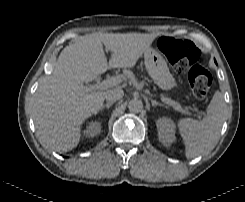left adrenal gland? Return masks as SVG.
Returning <instances> with one entry per match:
<instances>
[{"mask_svg":"<svg viewBox=\"0 0 245 202\" xmlns=\"http://www.w3.org/2000/svg\"><path fill=\"white\" fill-rule=\"evenodd\" d=\"M152 106H164V104L157 102L156 100L151 99ZM166 107V106H164Z\"/></svg>","mask_w":245,"mask_h":202,"instance_id":"left-adrenal-gland-1","label":"left adrenal gland"}]
</instances>
